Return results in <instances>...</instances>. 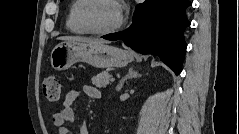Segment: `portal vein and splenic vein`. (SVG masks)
I'll use <instances>...</instances> for the list:
<instances>
[{
  "label": "portal vein and splenic vein",
  "mask_w": 239,
  "mask_h": 134,
  "mask_svg": "<svg viewBox=\"0 0 239 134\" xmlns=\"http://www.w3.org/2000/svg\"><path fill=\"white\" fill-rule=\"evenodd\" d=\"M110 81H111V82H114V81H115V78H111Z\"/></svg>",
  "instance_id": "18ae733b"
}]
</instances>
